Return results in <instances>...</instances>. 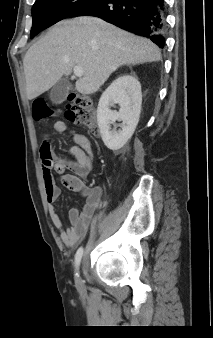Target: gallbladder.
Instances as JSON below:
<instances>
[{"label": "gallbladder", "instance_id": "obj_1", "mask_svg": "<svg viewBox=\"0 0 213 338\" xmlns=\"http://www.w3.org/2000/svg\"><path fill=\"white\" fill-rule=\"evenodd\" d=\"M70 90V82L67 79H61L51 88L49 98L52 103L60 104L66 99Z\"/></svg>", "mask_w": 213, "mask_h": 338}]
</instances>
